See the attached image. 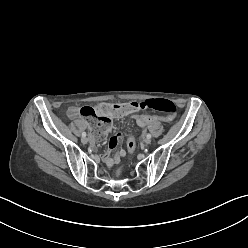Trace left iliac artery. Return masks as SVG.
Listing matches in <instances>:
<instances>
[{
  "instance_id": "left-iliac-artery-1",
  "label": "left iliac artery",
  "mask_w": 248,
  "mask_h": 248,
  "mask_svg": "<svg viewBox=\"0 0 248 248\" xmlns=\"http://www.w3.org/2000/svg\"><path fill=\"white\" fill-rule=\"evenodd\" d=\"M146 137L150 139V138H151V134L148 133V134L146 135Z\"/></svg>"
}]
</instances>
